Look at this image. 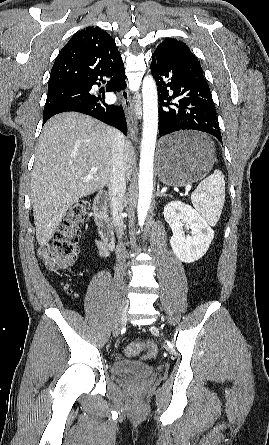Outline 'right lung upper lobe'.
I'll list each match as a JSON object with an SVG mask.
<instances>
[{"label":"right lung upper lobe","mask_w":269,"mask_h":445,"mask_svg":"<svg viewBox=\"0 0 269 445\" xmlns=\"http://www.w3.org/2000/svg\"><path fill=\"white\" fill-rule=\"evenodd\" d=\"M121 60L115 41L99 27L77 32L52 67L48 88L84 84L89 77Z\"/></svg>","instance_id":"obj_1"}]
</instances>
